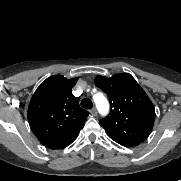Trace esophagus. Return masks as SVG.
Wrapping results in <instances>:
<instances>
[{"label":"esophagus","instance_id":"esophagus-1","mask_svg":"<svg viewBox=\"0 0 181 181\" xmlns=\"http://www.w3.org/2000/svg\"><path fill=\"white\" fill-rule=\"evenodd\" d=\"M90 114L92 115V116H96L97 115V111H96V108H92V109H90Z\"/></svg>","mask_w":181,"mask_h":181}]
</instances>
